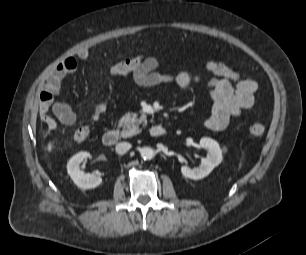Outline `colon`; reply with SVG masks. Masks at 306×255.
<instances>
[{
    "label": "colon",
    "mask_w": 306,
    "mask_h": 255,
    "mask_svg": "<svg viewBox=\"0 0 306 255\" xmlns=\"http://www.w3.org/2000/svg\"><path fill=\"white\" fill-rule=\"evenodd\" d=\"M145 57L138 55L131 58L120 59L114 62L110 67V72L114 75H126L132 73L137 69L144 61ZM107 104V98L97 104L91 114L90 123L80 127L74 133V140L76 143H83L90 135L92 124L96 122L101 114L105 111ZM249 133L253 137H260L263 135L265 128L262 124H252L249 129Z\"/></svg>",
    "instance_id": "obj_1"
}]
</instances>
